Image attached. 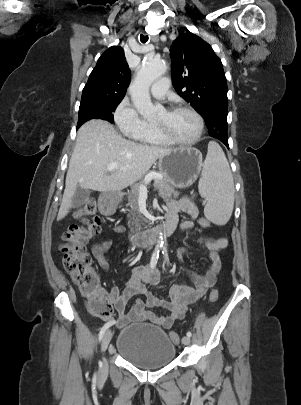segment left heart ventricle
I'll return each mask as SVG.
<instances>
[{"instance_id":"obj_1","label":"left heart ventricle","mask_w":301,"mask_h":405,"mask_svg":"<svg viewBox=\"0 0 301 405\" xmlns=\"http://www.w3.org/2000/svg\"><path fill=\"white\" fill-rule=\"evenodd\" d=\"M154 124L163 126L172 136L181 140L192 139L198 130L196 118L188 111L162 110Z\"/></svg>"}]
</instances>
